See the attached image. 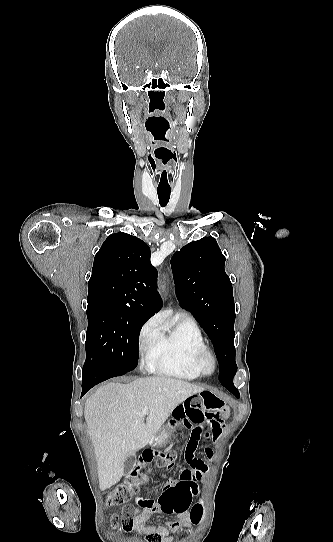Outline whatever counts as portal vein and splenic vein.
<instances>
[{
  "label": "portal vein and splenic vein",
  "mask_w": 333,
  "mask_h": 542,
  "mask_svg": "<svg viewBox=\"0 0 333 542\" xmlns=\"http://www.w3.org/2000/svg\"><path fill=\"white\" fill-rule=\"evenodd\" d=\"M147 412H148V408H144L143 414H147Z\"/></svg>",
  "instance_id": "portal-vein-and-splenic-vein-1"
}]
</instances>
